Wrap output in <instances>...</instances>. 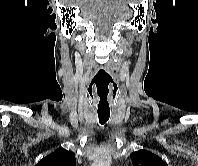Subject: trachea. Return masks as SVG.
Returning a JSON list of instances; mask_svg holds the SVG:
<instances>
[{
    "label": "trachea",
    "mask_w": 198,
    "mask_h": 166,
    "mask_svg": "<svg viewBox=\"0 0 198 166\" xmlns=\"http://www.w3.org/2000/svg\"><path fill=\"white\" fill-rule=\"evenodd\" d=\"M98 117H99V123L103 125L108 121L110 117V113H98Z\"/></svg>",
    "instance_id": "trachea-1"
}]
</instances>
